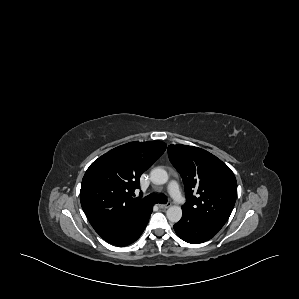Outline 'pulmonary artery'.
Wrapping results in <instances>:
<instances>
[{
	"mask_svg": "<svg viewBox=\"0 0 299 299\" xmlns=\"http://www.w3.org/2000/svg\"><path fill=\"white\" fill-rule=\"evenodd\" d=\"M168 191L170 193V195L172 196V198L178 202V203H182L183 202V197L181 195L180 192V188L179 185L176 181H171L168 185Z\"/></svg>",
	"mask_w": 299,
	"mask_h": 299,
	"instance_id": "e3ab8cb5",
	"label": "pulmonary artery"
}]
</instances>
